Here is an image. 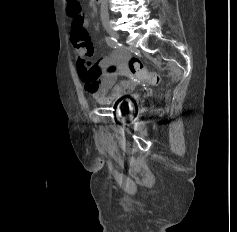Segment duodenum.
Wrapping results in <instances>:
<instances>
[{"mask_svg": "<svg viewBox=\"0 0 237 232\" xmlns=\"http://www.w3.org/2000/svg\"><path fill=\"white\" fill-rule=\"evenodd\" d=\"M93 1H96V2H98L99 0H93Z\"/></svg>", "mask_w": 237, "mask_h": 232, "instance_id": "obj_1", "label": "duodenum"}]
</instances>
